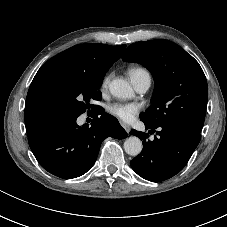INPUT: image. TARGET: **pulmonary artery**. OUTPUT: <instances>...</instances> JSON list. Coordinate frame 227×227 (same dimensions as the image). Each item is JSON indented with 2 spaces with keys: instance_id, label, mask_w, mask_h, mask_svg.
Instances as JSON below:
<instances>
[{
  "instance_id": "e3ab8cb5",
  "label": "pulmonary artery",
  "mask_w": 227,
  "mask_h": 227,
  "mask_svg": "<svg viewBox=\"0 0 227 227\" xmlns=\"http://www.w3.org/2000/svg\"><path fill=\"white\" fill-rule=\"evenodd\" d=\"M132 81H133V84H134L136 90L139 93H145L151 85L150 75H143V76L138 77V78H136Z\"/></svg>"
}]
</instances>
